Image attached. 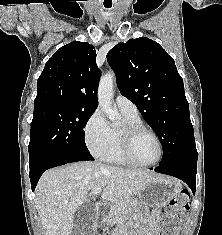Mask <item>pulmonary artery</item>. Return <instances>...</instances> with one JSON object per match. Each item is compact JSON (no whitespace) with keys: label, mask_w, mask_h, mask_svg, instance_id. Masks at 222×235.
<instances>
[{"label":"pulmonary artery","mask_w":222,"mask_h":235,"mask_svg":"<svg viewBox=\"0 0 222 235\" xmlns=\"http://www.w3.org/2000/svg\"><path fill=\"white\" fill-rule=\"evenodd\" d=\"M115 104L121 112L128 113L131 115H138V109L136 105L131 100L121 94H118L116 96Z\"/></svg>","instance_id":"e3ab8cb5"}]
</instances>
